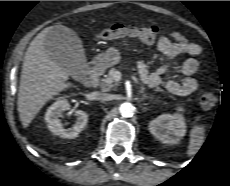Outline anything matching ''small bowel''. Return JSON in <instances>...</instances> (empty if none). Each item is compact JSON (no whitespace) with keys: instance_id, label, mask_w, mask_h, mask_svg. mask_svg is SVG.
Here are the masks:
<instances>
[{"instance_id":"small-bowel-1","label":"small bowel","mask_w":230,"mask_h":186,"mask_svg":"<svg viewBox=\"0 0 230 186\" xmlns=\"http://www.w3.org/2000/svg\"><path fill=\"white\" fill-rule=\"evenodd\" d=\"M157 49L165 57V63L155 72H150L145 62H139L138 72L141 80L153 88L163 85L175 95L187 96L192 94L198 87V82L193 75L198 70L197 57L202 53L201 47L189 41L181 33L171 32L168 36H163L158 40ZM181 54L191 56L179 65V70L184 77L179 79L177 74H173L171 79L164 82L163 76L170 71L175 57Z\"/></svg>"}]
</instances>
